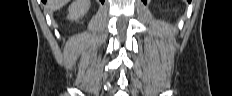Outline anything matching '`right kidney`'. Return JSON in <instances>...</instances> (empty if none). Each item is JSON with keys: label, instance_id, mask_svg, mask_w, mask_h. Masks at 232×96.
<instances>
[{"label": "right kidney", "instance_id": "right-kidney-1", "mask_svg": "<svg viewBox=\"0 0 232 96\" xmlns=\"http://www.w3.org/2000/svg\"><path fill=\"white\" fill-rule=\"evenodd\" d=\"M90 7L89 0H75L68 8V16L69 20H77L80 16H83Z\"/></svg>", "mask_w": 232, "mask_h": 96}]
</instances>
